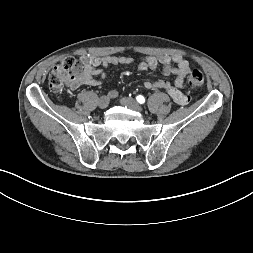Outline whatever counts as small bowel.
Returning <instances> with one entry per match:
<instances>
[{"instance_id":"c3829d8e","label":"small bowel","mask_w":253,"mask_h":253,"mask_svg":"<svg viewBox=\"0 0 253 253\" xmlns=\"http://www.w3.org/2000/svg\"><path fill=\"white\" fill-rule=\"evenodd\" d=\"M84 65L82 75L71 85L72 88H78L82 85L98 86L97 77L105 78L106 73L103 69L114 65H130L135 62L134 58L129 56H87L80 57ZM162 66V73L165 76L176 75L174 86L165 79H159L154 82L144 81L143 86L146 89H163L168 95L180 105H190L192 98L186 95L181 89L185 87V76L190 71L191 65L188 60L179 55H163L159 58L155 56H146L138 62L140 71H154Z\"/></svg>"}]
</instances>
